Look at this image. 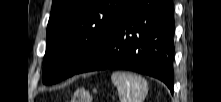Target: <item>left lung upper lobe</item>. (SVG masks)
<instances>
[{
    "instance_id": "obj_1",
    "label": "left lung upper lobe",
    "mask_w": 221,
    "mask_h": 102,
    "mask_svg": "<svg viewBox=\"0 0 221 102\" xmlns=\"http://www.w3.org/2000/svg\"><path fill=\"white\" fill-rule=\"evenodd\" d=\"M128 2L53 0L43 83H57L74 75L108 35Z\"/></svg>"
}]
</instances>
